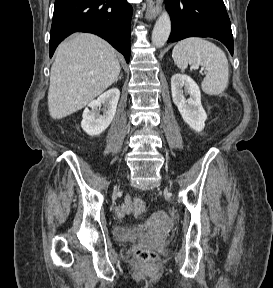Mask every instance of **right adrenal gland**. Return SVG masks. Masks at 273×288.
I'll return each mask as SVG.
<instances>
[{
    "instance_id": "1",
    "label": "right adrenal gland",
    "mask_w": 273,
    "mask_h": 288,
    "mask_svg": "<svg viewBox=\"0 0 273 288\" xmlns=\"http://www.w3.org/2000/svg\"><path fill=\"white\" fill-rule=\"evenodd\" d=\"M118 79H120V80L122 79V73H121V75L118 77Z\"/></svg>"
}]
</instances>
